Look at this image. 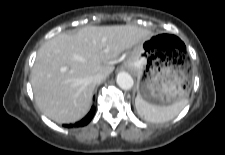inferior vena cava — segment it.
I'll return each instance as SVG.
<instances>
[{
  "label": "inferior vena cava",
  "instance_id": "inferior-vena-cava-1",
  "mask_svg": "<svg viewBox=\"0 0 225 155\" xmlns=\"http://www.w3.org/2000/svg\"><path fill=\"white\" fill-rule=\"evenodd\" d=\"M105 78H106V76L104 74L98 73L93 76L92 80H93V83L98 84V83H101L102 81H104Z\"/></svg>",
  "mask_w": 225,
  "mask_h": 155
}]
</instances>
